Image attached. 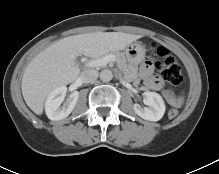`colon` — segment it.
<instances>
[{
	"label": "colon",
	"mask_w": 219,
	"mask_h": 174,
	"mask_svg": "<svg viewBox=\"0 0 219 174\" xmlns=\"http://www.w3.org/2000/svg\"><path fill=\"white\" fill-rule=\"evenodd\" d=\"M150 53L159 60L155 63V68L161 77L172 85H180L183 81L181 67L174 56L164 47L151 46ZM170 119L178 115L176 108H170L167 112Z\"/></svg>",
	"instance_id": "5ec220e1"
}]
</instances>
